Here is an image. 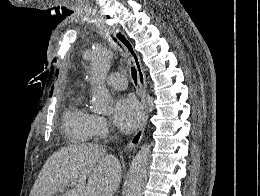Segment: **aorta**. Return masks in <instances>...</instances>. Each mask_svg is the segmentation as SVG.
<instances>
[{
	"label": "aorta",
	"mask_w": 260,
	"mask_h": 196,
	"mask_svg": "<svg viewBox=\"0 0 260 196\" xmlns=\"http://www.w3.org/2000/svg\"><path fill=\"white\" fill-rule=\"evenodd\" d=\"M113 53L106 48L95 51L91 60V81L93 87V104L101 113H107L112 98L105 85V78L110 70ZM151 163V144H144L133 158L129 170L126 196H143L147 172Z\"/></svg>",
	"instance_id": "1"
}]
</instances>
